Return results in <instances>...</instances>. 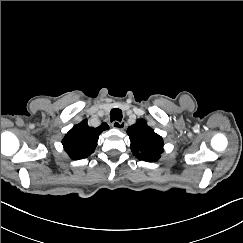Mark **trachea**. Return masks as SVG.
<instances>
[{"mask_svg": "<svg viewBox=\"0 0 243 243\" xmlns=\"http://www.w3.org/2000/svg\"><path fill=\"white\" fill-rule=\"evenodd\" d=\"M111 121H119L122 120V111L119 108H113L110 112Z\"/></svg>", "mask_w": 243, "mask_h": 243, "instance_id": "obj_1", "label": "trachea"}]
</instances>
